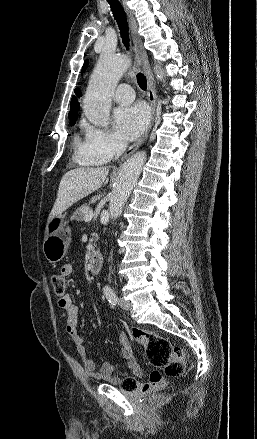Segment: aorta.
<instances>
[{"label":"aorta","instance_id":"762f6f07","mask_svg":"<svg viewBox=\"0 0 257 439\" xmlns=\"http://www.w3.org/2000/svg\"><path fill=\"white\" fill-rule=\"evenodd\" d=\"M129 67L125 56L103 53L91 76L85 99L84 114L93 124L107 127L111 110V98L114 89ZM155 73L163 80V72L159 66ZM146 160L144 151L132 155L120 168L109 200L110 219H117L137 182Z\"/></svg>","mask_w":257,"mask_h":439}]
</instances>
